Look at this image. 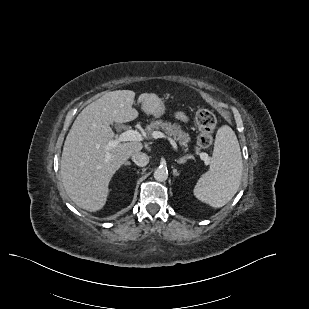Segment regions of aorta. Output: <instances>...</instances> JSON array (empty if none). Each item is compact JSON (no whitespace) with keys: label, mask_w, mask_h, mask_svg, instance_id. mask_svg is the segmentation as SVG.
Listing matches in <instances>:
<instances>
[{"label":"aorta","mask_w":309,"mask_h":309,"mask_svg":"<svg viewBox=\"0 0 309 309\" xmlns=\"http://www.w3.org/2000/svg\"><path fill=\"white\" fill-rule=\"evenodd\" d=\"M154 178L155 180L159 182H164L168 178V170L164 166H159L155 171H154Z\"/></svg>","instance_id":"aorta-1"}]
</instances>
